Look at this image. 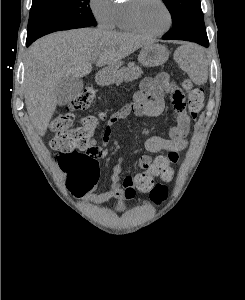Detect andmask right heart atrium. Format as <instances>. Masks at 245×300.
I'll return each instance as SVG.
<instances>
[{
	"label": "right heart atrium",
	"instance_id": "right-heart-atrium-1",
	"mask_svg": "<svg viewBox=\"0 0 245 300\" xmlns=\"http://www.w3.org/2000/svg\"><path fill=\"white\" fill-rule=\"evenodd\" d=\"M89 8L100 27H112L115 9L113 0H89Z\"/></svg>",
	"mask_w": 245,
	"mask_h": 300
}]
</instances>
